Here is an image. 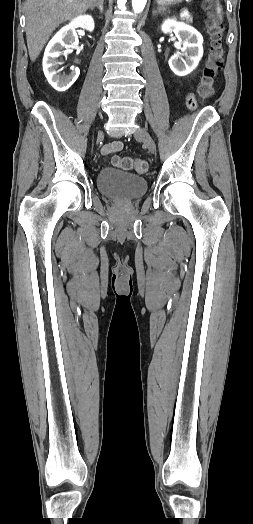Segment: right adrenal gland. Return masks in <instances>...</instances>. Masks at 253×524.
<instances>
[{"label":"right adrenal gland","instance_id":"right-adrenal-gland-1","mask_svg":"<svg viewBox=\"0 0 253 524\" xmlns=\"http://www.w3.org/2000/svg\"><path fill=\"white\" fill-rule=\"evenodd\" d=\"M103 3H104V0H98L92 7V9H95V8H98L100 10L101 13H103Z\"/></svg>","mask_w":253,"mask_h":524}]
</instances>
